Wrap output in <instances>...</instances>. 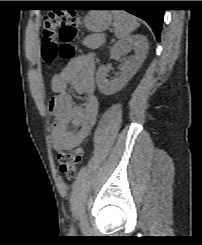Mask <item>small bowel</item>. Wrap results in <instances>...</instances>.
<instances>
[{
	"label": "small bowel",
	"mask_w": 202,
	"mask_h": 245,
	"mask_svg": "<svg viewBox=\"0 0 202 245\" xmlns=\"http://www.w3.org/2000/svg\"><path fill=\"white\" fill-rule=\"evenodd\" d=\"M95 71L93 59L77 57L52 78L54 98L50 103V112L54 123L51 144L59 155L79 146L96 122L100 104L94 92ZM69 85L83 96V104H77L67 92Z\"/></svg>",
	"instance_id": "c3829d8e"
}]
</instances>
